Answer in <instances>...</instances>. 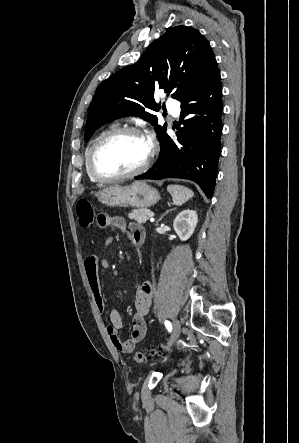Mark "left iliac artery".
I'll list each match as a JSON object with an SVG mask.
<instances>
[{
  "label": "left iliac artery",
  "mask_w": 299,
  "mask_h": 443,
  "mask_svg": "<svg viewBox=\"0 0 299 443\" xmlns=\"http://www.w3.org/2000/svg\"><path fill=\"white\" fill-rule=\"evenodd\" d=\"M164 323H165L167 330L169 332H171L172 331V324L170 323V321L166 320Z\"/></svg>",
  "instance_id": "obj_1"
}]
</instances>
